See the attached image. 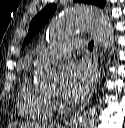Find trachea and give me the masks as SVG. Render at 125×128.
I'll list each match as a JSON object with an SVG mask.
<instances>
[{
	"mask_svg": "<svg viewBox=\"0 0 125 128\" xmlns=\"http://www.w3.org/2000/svg\"><path fill=\"white\" fill-rule=\"evenodd\" d=\"M88 47H89V49L92 51L93 50V47H94V42H90L89 44H88Z\"/></svg>",
	"mask_w": 125,
	"mask_h": 128,
	"instance_id": "1",
	"label": "trachea"
}]
</instances>
